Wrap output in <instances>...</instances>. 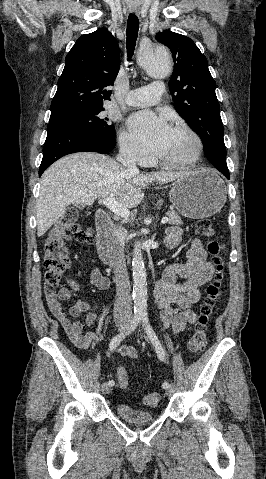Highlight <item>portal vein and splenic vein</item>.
Listing matches in <instances>:
<instances>
[{"label": "portal vein and splenic vein", "mask_w": 266, "mask_h": 479, "mask_svg": "<svg viewBox=\"0 0 266 479\" xmlns=\"http://www.w3.org/2000/svg\"><path fill=\"white\" fill-rule=\"evenodd\" d=\"M101 203L106 206L110 211L117 214L118 216H121L122 218H128L130 215V211L128 210V208L116 201L113 195L103 198L101 200ZM168 220L169 219L167 217H164L162 218L161 223L165 224L168 222Z\"/></svg>", "instance_id": "18ae733b"}]
</instances>
